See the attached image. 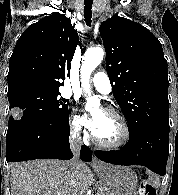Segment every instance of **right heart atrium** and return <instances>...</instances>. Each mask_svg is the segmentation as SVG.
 I'll return each instance as SVG.
<instances>
[{"mask_svg":"<svg viewBox=\"0 0 178 195\" xmlns=\"http://www.w3.org/2000/svg\"><path fill=\"white\" fill-rule=\"evenodd\" d=\"M70 133L74 139L84 140L87 138V132L83 127L82 118L73 110L70 117Z\"/></svg>","mask_w":178,"mask_h":195,"instance_id":"1","label":"right heart atrium"}]
</instances>
